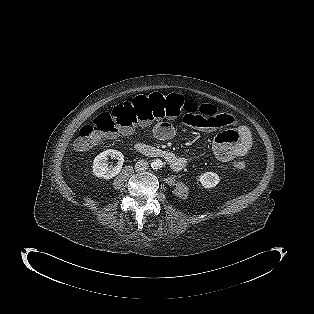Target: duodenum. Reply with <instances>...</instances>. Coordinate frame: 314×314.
<instances>
[{"mask_svg": "<svg viewBox=\"0 0 314 314\" xmlns=\"http://www.w3.org/2000/svg\"><path fill=\"white\" fill-rule=\"evenodd\" d=\"M134 149L151 157H160L165 159L172 168L181 170L184 167V161L177 157L172 151L156 148L143 142H136Z\"/></svg>", "mask_w": 314, "mask_h": 314, "instance_id": "obj_1", "label": "duodenum"}]
</instances>
